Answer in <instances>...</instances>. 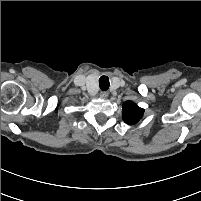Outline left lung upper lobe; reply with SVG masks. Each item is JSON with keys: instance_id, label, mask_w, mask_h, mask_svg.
<instances>
[{"instance_id": "left-lung-upper-lobe-1", "label": "left lung upper lobe", "mask_w": 201, "mask_h": 201, "mask_svg": "<svg viewBox=\"0 0 201 201\" xmlns=\"http://www.w3.org/2000/svg\"><path fill=\"white\" fill-rule=\"evenodd\" d=\"M144 109L140 108L132 101H126L122 109V117L126 124H136L142 119Z\"/></svg>"}]
</instances>
